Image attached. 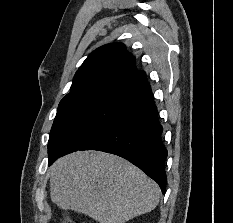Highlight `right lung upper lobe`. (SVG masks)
Returning <instances> with one entry per match:
<instances>
[{
	"instance_id": "obj_1",
	"label": "right lung upper lobe",
	"mask_w": 233,
	"mask_h": 223,
	"mask_svg": "<svg viewBox=\"0 0 233 223\" xmlns=\"http://www.w3.org/2000/svg\"><path fill=\"white\" fill-rule=\"evenodd\" d=\"M146 74L137 70L135 58L122 43H112L93 51L76 72L70 93L120 91L146 82Z\"/></svg>"
}]
</instances>
